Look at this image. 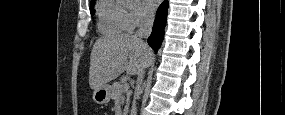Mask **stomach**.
Wrapping results in <instances>:
<instances>
[{"label":"stomach","mask_w":285,"mask_h":115,"mask_svg":"<svg viewBox=\"0 0 285 115\" xmlns=\"http://www.w3.org/2000/svg\"><path fill=\"white\" fill-rule=\"evenodd\" d=\"M111 98V86L103 85L94 90L93 100L100 105L107 104Z\"/></svg>","instance_id":"1"}]
</instances>
